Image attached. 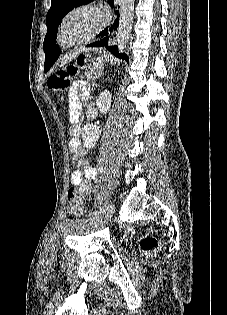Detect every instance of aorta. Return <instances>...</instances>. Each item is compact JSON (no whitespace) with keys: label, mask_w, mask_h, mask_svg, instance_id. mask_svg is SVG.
<instances>
[{"label":"aorta","mask_w":227,"mask_h":315,"mask_svg":"<svg viewBox=\"0 0 227 315\" xmlns=\"http://www.w3.org/2000/svg\"><path fill=\"white\" fill-rule=\"evenodd\" d=\"M135 0H121L119 25L116 32V44L119 52H123L130 38L134 16Z\"/></svg>","instance_id":"1"}]
</instances>
